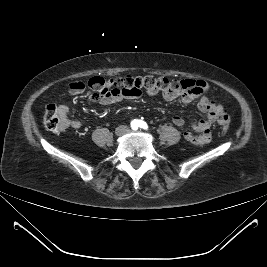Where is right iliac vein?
Returning <instances> with one entry per match:
<instances>
[{
  "instance_id": "1",
  "label": "right iliac vein",
  "mask_w": 267,
  "mask_h": 267,
  "mask_svg": "<svg viewBox=\"0 0 267 267\" xmlns=\"http://www.w3.org/2000/svg\"><path fill=\"white\" fill-rule=\"evenodd\" d=\"M127 130L128 129L125 126H119L118 128H116L115 134L117 136H122V135H124L127 132Z\"/></svg>"
}]
</instances>
